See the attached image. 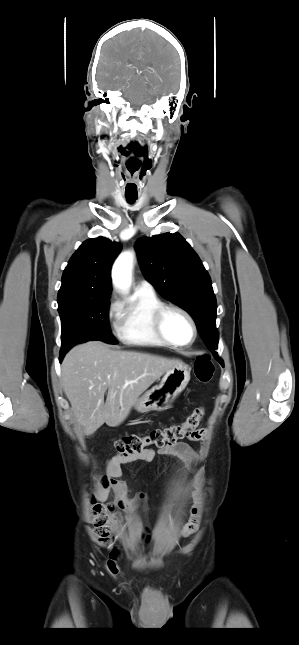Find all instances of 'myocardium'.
<instances>
[{"label": "myocardium", "mask_w": 299, "mask_h": 645, "mask_svg": "<svg viewBox=\"0 0 299 645\" xmlns=\"http://www.w3.org/2000/svg\"><path fill=\"white\" fill-rule=\"evenodd\" d=\"M169 311L181 313L190 323L192 328L191 340L187 343H177L171 340L164 329L165 316ZM153 327L157 336L166 344L175 348H184L192 345L197 337V325L192 315L183 307L176 304H162L153 315Z\"/></svg>", "instance_id": "f54148a6"}]
</instances>
